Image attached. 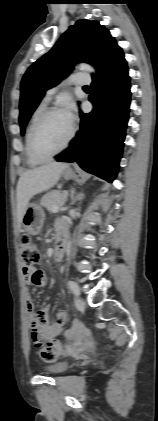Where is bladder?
Returning <instances> with one entry per match:
<instances>
[{
	"mask_svg": "<svg viewBox=\"0 0 158 421\" xmlns=\"http://www.w3.org/2000/svg\"><path fill=\"white\" fill-rule=\"evenodd\" d=\"M70 368L68 361H58L51 365L46 366L44 369L47 373L52 375L62 374Z\"/></svg>",
	"mask_w": 158,
	"mask_h": 421,
	"instance_id": "31cf9c89",
	"label": "bladder"
}]
</instances>
